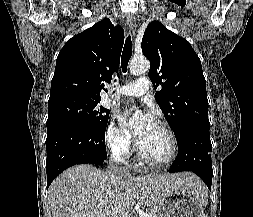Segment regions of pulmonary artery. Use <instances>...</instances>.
Segmentation results:
<instances>
[{
  "mask_svg": "<svg viewBox=\"0 0 253 217\" xmlns=\"http://www.w3.org/2000/svg\"><path fill=\"white\" fill-rule=\"evenodd\" d=\"M150 89V81L147 77H139L135 82L122 85L118 89L121 96H143Z\"/></svg>",
  "mask_w": 253,
  "mask_h": 217,
  "instance_id": "obj_1",
  "label": "pulmonary artery"
}]
</instances>
